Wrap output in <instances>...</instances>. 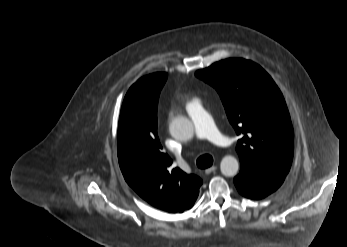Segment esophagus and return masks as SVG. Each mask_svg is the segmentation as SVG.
Here are the masks:
<instances>
[{
	"instance_id": "1",
	"label": "esophagus",
	"mask_w": 347,
	"mask_h": 247,
	"mask_svg": "<svg viewBox=\"0 0 347 247\" xmlns=\"http://www.w3.org/2000/svg\"><path fill=\"white\" fill-rule=\"evenodd\" d=\"M217 169L216 165H213L205 170L206 174H210L211 172H214Z\"/></svg>"
}]
</instances>
